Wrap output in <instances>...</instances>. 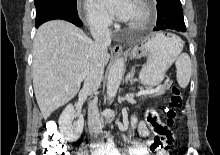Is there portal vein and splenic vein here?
Listing matches in <instances>:
<instances>
[{"label":"portal vein and splenic vein","mask_w":220,"mask_h":155,"mask_svg":"<svg viewBox=\"0 0 220 155\" xmlns=\"http://www.w3.org/2000/svg\"><path fill=\"white\" fill-rule=\"evenodd\" d=\"M161 87H162V86L159 85V86H157V87L154 88V89L143 90V91H141V92H138L137 95L154 93V92L158 91Z\"/></svg>","instance_id":"obj_1"}]
</instances>
